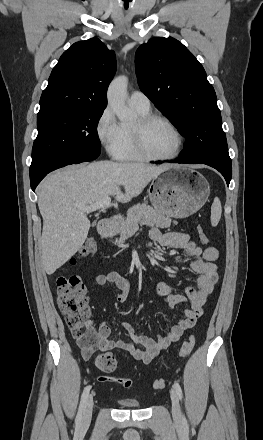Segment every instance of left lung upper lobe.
Returning <instances> with one entry per match:
<instances>
[{"instance_id":"left-lung-upper-lobe-1","label":"left lung upper lobe","mask_w":263,"mask_h":440,"mask_svg":"<svg viewBox=\"0 0 263 440\" xmlns=\"http://www.w3.org/2000/svg\"><path fill=\"white\" fill-rule=\"evenodd\" d=\"M141 91L186 138L188 163L231 162L214 88L200 62L178 40L154 37L135 54Z\"/></svg>"}]
</instances>
